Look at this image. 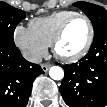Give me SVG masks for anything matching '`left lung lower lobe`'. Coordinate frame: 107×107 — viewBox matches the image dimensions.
<instances>
[{
	"label": "left lung lower lobe",
	"instance_id": "0a47b994",
	"mask_svg": "<svg viewBox=\"0 0 107 107\" xmlns=\"http://www.w3.org/2000/svg\"><path fill=\"white\" fill-rule=\"evenodd\" d=\"M61 95L70 107L107 105V31L94 37L87 55L79 63L63 66Z\"/></svg>",
	"mask_w": 107,
	"mask_h": 107
}]
</instances>
